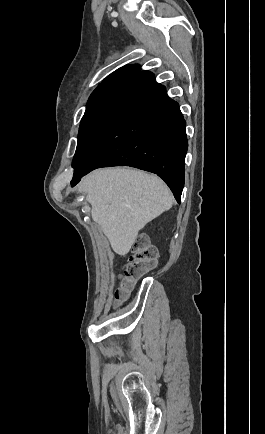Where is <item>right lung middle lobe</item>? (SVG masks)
<instances>
[{
  "label": "right lung middle lobe",
  "mask_w": 265,
  "mask_h": 434,
  "mask_svg": "<svg viewBox=\"0 0 265 434\" xmlns=\"http://www.w3.org/2000/svg\"><path fill=\"white\" fill-rule=\"evenodd\" d=\"M132 78L133 76H117L105 79L91 94L80 123L73 167L86 155L113 105Z\"/></svg>",
  "instance_id": "right-lung-middle-lobe-1"
}]
</instances>
